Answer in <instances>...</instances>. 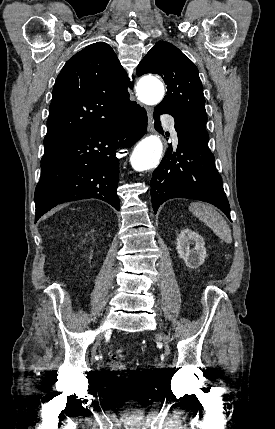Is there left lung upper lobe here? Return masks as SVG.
<instances>
[{"instance_id":"1","label":"left lung upper lobe","mask_w":275,"mask_h":429,"mask_svg":"<svg viewBox=\"0 0 275 429\" xmlns=\"http://www.w3.org/2000/svg\"><path fill=\"white\" fill-rule=\"evenodd\" d=\"M146 73L160 75L167 84V95L156 107L172 115L179 124L208 136L203 86L197 67L177 47L159 41L137 67L138 76Z\"/></svg>"}]
</instances>
